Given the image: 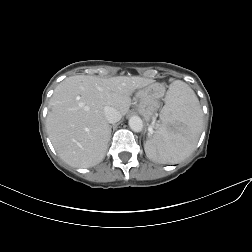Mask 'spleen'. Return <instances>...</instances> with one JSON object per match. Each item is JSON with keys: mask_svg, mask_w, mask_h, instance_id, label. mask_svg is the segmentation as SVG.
<instances>
[{"mask_svg": "<svg viewBox=\"0 0 252 252\" xmlns=\"http://www.w3.org/2000/svg\"><path fill=\"white\" fill-rule=\"evenodd\" d=\"M161 119L162 124L144 145L145 152L162 164L182 161L195 149L203 125L199 100L186 83L176 80L170 84ZM168 125L174 129L169 130Z\"/></svg>", "mask_w": 252, "mask_h": 252, "instance_id": "3e777b00", "label": "spleen"}]
</instances>
